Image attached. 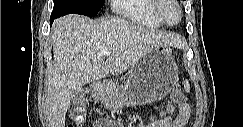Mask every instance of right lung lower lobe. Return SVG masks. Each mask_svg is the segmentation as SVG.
Returning <instances> with one entry per match:
<instances>
[{
	"label": "right lung lower lobe",
	"mask_w": 243,
	"mask_h": 127,
	"mask_svg": "<svg viewBox=\"0 0 243 127\" xmlns=\"http://www.w3.org/2000/svg\"><path fill=\"white\" fill-rule=\"evenodd\" d=\"M50 19H51V24H52V22L54 21L55 18L54 17H50Z\"/></svg>",
	"instance_id": "obj_1"
}]
</instances>
